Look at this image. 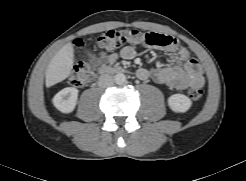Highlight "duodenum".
I'll use <instances>...</instances> for the list:
<instances>
[{
	"label": "duodenum",
	"instance_id": "obj_1",
	"mask_svg": "<svg viewBox=\"0 0 246 181\" xmlns=\"http://www.w3.org/2000/svg\"><path fill=\"white\" fill-rule=\"evenodd\" d=\"M124 72V69L121 67H110V66H104L101 68L100 73L108 74V73H122Z\"/></svg>",
	"mask_w": 246,
	"mask_h": 181
}]
</instances>
